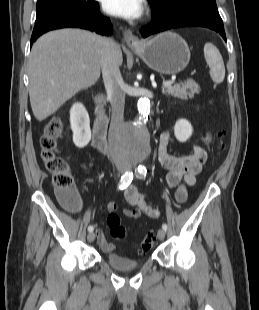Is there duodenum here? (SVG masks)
<instances>
[{
  "label": "duodenum",
  "instance_id": "1",
  "mask_svg": "<svg viewBox=\"0 0 259 310\" xmlns=\"http://www.w3.org/2000/svg\"><path fill=\"white\" fill-rule=\"evenodd\" d=\"M102 100V96H99L96 99V116L93 126L92 143L96 150L105 152V139L107 134L108 121L103 109Z\"/></svg>",
  "mask_w": 259,
  "mask_h": 310
}]
</instances>
